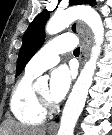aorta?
<instances>
[{
    "mask_svg": "<svg viewBox=\"0 0 112 135\" xmlns=\"http://www.w3.org/2000/svg\"><path fill=\"white\" fill-rule=\"evenodd\" d=\"M77 19L84 21L91 28L94 34V45L91 49L90 59L81 70L66 101L57 135H73L77 120L84 108L88 90L92 85L97 59L100 56L104 41L102 19L100 15L89 6L73 7L64 12L56 13L48 21L46 32L50 35L57 34ZM43 80L45 79L39 78L37 81L41 82Z\"/></svg>",
    "mask_w": 112,
    "mask_h": 135,
    "instance_id": "762f6f07",
    "label": "aorta"
}]
</instances>
